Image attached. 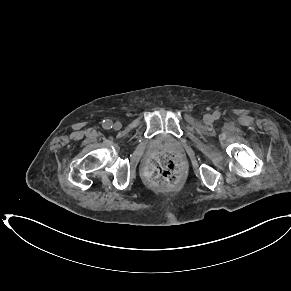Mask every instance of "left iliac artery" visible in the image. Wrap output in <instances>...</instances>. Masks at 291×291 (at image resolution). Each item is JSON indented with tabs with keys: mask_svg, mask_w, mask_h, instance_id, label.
<instances>
[{
	"mask_svg": "<svg viewBox=\"0 0 291 291\" xmlns=\"http://www.w3.org/2000/svg\"><path fill=\"white\" fill-rule=\"evenodd\" d=\"M214 119H219V117H220V113L219 112H214Z\"/></svg>",
	"mask_w": 291,
	"mask_h": 291,
	"instance_id": "left-iliac-artery-1",
	"label": "left iliac artery"
}]
</instances>
